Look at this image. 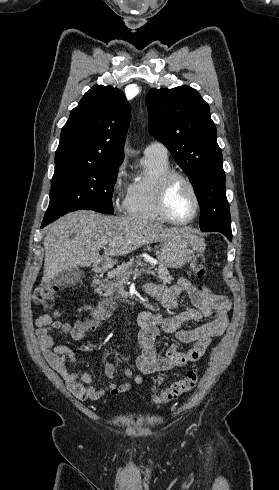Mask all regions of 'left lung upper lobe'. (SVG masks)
<instances>
[{
    "label": "left lung upper lobe",
    "mask_w": 279,
    "mask_h": 490,
    "mask_svg": "<svg viewBox=\"0 0 279 490\" xmlns=\"http://www.w3.org/2000/svg\"><path fill=\"white\" fill-rule=\"evenodd\" d=\"M149 132L187 173L200 205V229L230 240L231 218L222 152L208 104L188 86L151 89L146 97Z\"/></svg>",
    "instance_id": "1"
}]
</instances>
